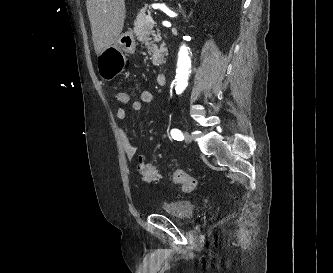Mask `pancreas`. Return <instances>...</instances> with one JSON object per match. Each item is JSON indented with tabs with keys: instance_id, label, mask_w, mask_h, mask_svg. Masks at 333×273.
Returning a JSON list of instances; mask_svg holds the SVG:
<instances>
[{
	"instance_id": "obj_1",
	"label": "pancreas",
	"mask_w": 333,
	"mask_h": 273,
	"mask_svg": "<svg viewBox=\"0 0 333 273\" xmlns=\"http://www.w3.org/2000/svg\"><path fill=\"white\" fill-rule=\"evenodd\" d=\"M147 6L139 10L137 18L134 21V34L142 43L145 44L148 54L154 65L160 66L164 62V56L167 52L165 43L162 42L160 47L156 43H160L162 38L160 33L153 31V26L146 22ZM152 36V37H151Z\"/></svg>"
}]
</instances>
